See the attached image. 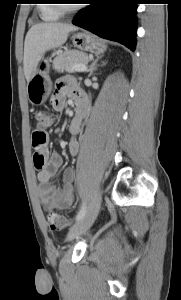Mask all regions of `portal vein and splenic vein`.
Here are the masks:
<instances>
[{
	"label": "portal vein and splenic vein",
	"instance_id": "obj_1",
	"mask_svg": "<svg viewBox=\"0 0 181 300\" xmlns=\"http://www.w3.org/2000/svg\"><path fill=\"white\" fill-rule=\"evenodd\" d=\"M87 67L85 64H76L74 67H73V70L76 71V72H83V71H86Z\"/></svg>",
	"mask_w": 181,
	"mask_h": 300
}]
</instances>
